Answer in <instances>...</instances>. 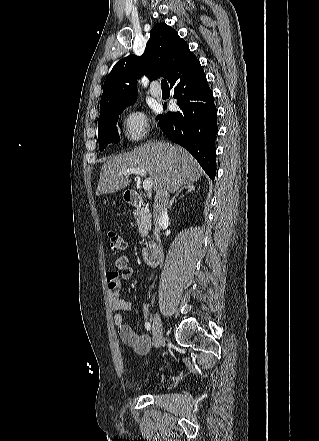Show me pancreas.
Here are the masks:
<instances>
[{
    "mask_svg": "<svg viewBox=\"0 0 319 441\" xmlns=\"http://www.w3.org/2000/svg\"><path fill=\"white\" fill-rule=\"evenodd\" d=\"M134 218L139 234L143 239L146 238L151 227V213L147 208H137L134 212Z\"/></svg>",
    "mask_w": 319,
    "mask_h": 441,
    "instance_id": "obj_1",
    "label": "pancreas"
}]
</instances>
